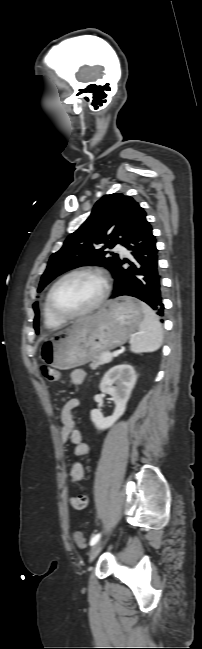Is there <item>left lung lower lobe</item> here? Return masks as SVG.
Returning <instances> with one entry per match:
<instances>
[{
    "label": "left lung lower lobe",
    "mask_w": 202,
    "mask_h": 649,
    "mask_svg": "<svg viewBox=\"0 0 202 649\" xmlns=\"http://www.w3.org/2000/svg\"><path fill=\"white\" fill-rule=\"evenodd\" d=\"M121 244L131 251L132 259L120 258L113 267L115 281L110 298L123 295L136 297L150 305L158 315L163 316L158 250L146 215L134 223L123 237ZM125 263L130 265L127 269L122 267Z\"/></svg>",
    "instance_id": "left-lung-lower-lobe-1"
}]
</instances>
